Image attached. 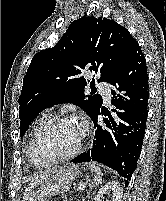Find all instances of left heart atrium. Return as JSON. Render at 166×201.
Wrapping results in <instances>:
<instances>
[{
	"label": "left heart atrium",
	"instance_id": "left-heart-atrium-1",
	"mask_svg": "<svg viewBox=\"0 0 166 201\" xmlns=\"http://www.w3.org/2000/svg\"><path fill=\"white\" fill-rule=\"evenodd\" d=\"M80 127L82 128V130H84V126H85V123L83 120H81L79 123Z\"/></svg>",
	"mask_w": 166,
	"mask_h": 201
}]
</instances>
